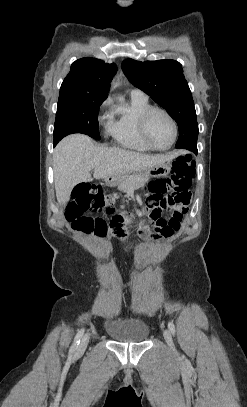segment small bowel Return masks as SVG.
<instances>
[{
  "instance_id": "1",
  "label": "small bowel",
  "mask_w": 247,
  "mask_h": 407,
  "mask_svg": "<svg viewBox=\"0 0 247 407\" xmlns=\"http://www.w3.org/2000/svg\"><path fill=\"white\" fill-rule=\"evenodd\" d=\"M188 204H175L168 198L158 195H151L146 206L141 211L139 220V233L143 236L160 239L173 237L180 229L183 218L187 213ZM167 213L164 216V213ZM132 222L129 215H118L115 223L111 225L110 234L112 237L121 238L125 235L121 227L122 222Z\"/></svg>"
}]
</instances>
